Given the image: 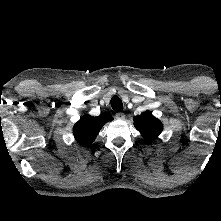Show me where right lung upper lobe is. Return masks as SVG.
Listing matches in <instances>:
<instances>
[{
	"label": "right lung upper lobe",
	"mask_w": 221,
	"mask_h": 221,
	"mask_svg": "<svg viewBox=\"0 0 221 221\" xmlns=\"http://www.w3.org/2000/svg\"><path fill=\"white\" fill-rule=\"evenodd\" d=\"M112 120L113 117L109 114L99 117L84 115L73 127L74 137L78 143L84 146H90L102 126Z\"/></svg>",
	"instance_id": "right-lung-upper-lobe-1"
}]
</instances>
